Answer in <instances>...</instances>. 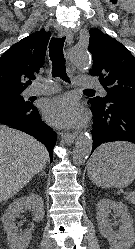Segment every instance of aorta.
Masks as SVG:
<instances>
[{"mask_svg":"<svg viewBox=\"0 0 135 249\" xmlns=\"http://www.w3.org/2000/svg\"><path fill=\"white\" fill-rule=\"evenodd\" d=\"M69 59L73 65L78 68L87 69L91 65V58L86 48L73 47L69 51ZM93 139L88 133L80 134L75 142L73 149V161L80 165L83 164L89 157L92 150Z\"/></svg>","mask_w":135,"mask_h":249,"instance_id":"aorta-1","label":"aorta"}]
</instances>
